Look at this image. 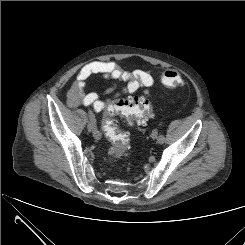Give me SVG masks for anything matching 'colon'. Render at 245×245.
Returning <instances> with one entry per match:
<instances>
[{
    "label": "colon",
    "instance_id": "5ec220e1",
    "mask_svg": "<svg viewBox=\"0 0 245 245\" xmlns=\"http://www.w3.org/2000/svg\"><path fill=\"white\" fill-rule=\"evenodd\" d=\"M162 82L165 86L174 88L181 84L182 77L175 70H166L162 74ZM151 114V102L147 95L120 98L107 107L103 118V130L111 142L108 149L109 158L126 156L130 149L129 136L120 130L116 117H121L129 125L141 126Z\"/></svg>",
    "mask_w": 245,
    "mask_h": 245
}]
</instances>
